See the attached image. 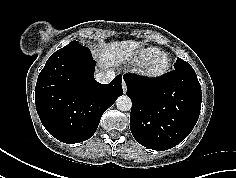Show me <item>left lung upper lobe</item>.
<instances>
[{
    "label": "left lung upper lobe",
    "mask_w": 236,
    "mask_h": 178,
    "mask_svg": "<svg viewBox=\"0 0 236 178\" xmlns=\"http://www.w3.org/2000/svg\"><path fill=\"white\" fill-rule=\"evenodd\" d=\"M174 68L177 70H193L189 63L180 58H178L177 62L174 65Z\"/></svg>",
    "instance_id": "1"
}]
</instances>
